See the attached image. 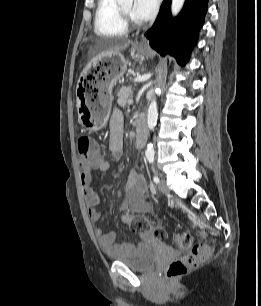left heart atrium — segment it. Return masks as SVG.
<instances>
[{
    "label": "left heart atrium",
    "mask_w": 261,
    "mask_h": 306,
    "mask_svg": "<svg viewBox=\"0 0 261 306\" xmlns=\"http://www.w3.org/2000/svg\"><path fill=\"white\" fill-rule=\"evenodd\" d=\"M160 0H134L133 15L138 21L152 18L159 6Z\"/></svg>",
    "instance_id": "obj_1"
}]
</instances>
